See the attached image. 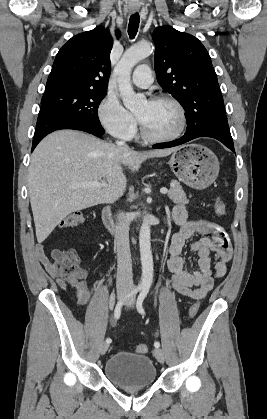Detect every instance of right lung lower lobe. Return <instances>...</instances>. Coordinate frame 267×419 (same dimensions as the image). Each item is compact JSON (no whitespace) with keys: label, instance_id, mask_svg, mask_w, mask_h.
<instances>
[{"label":"right lung lower lobe","instance_id":"right-lung-lower-lobe-1","mask_svg":"<svg viewBox=\"0 0 267 419\" xmlns=\"http://www.w3.org/2000/svg\"><path fill=\"white\" fill-rule=\"evenodd\" d=\"M60 129L81 130L95 136H102L104 129L100 125L82 122L58 110L41 107L32 143V151L37 144L49 133Z\"/></svg>","mask_w":267,"mask_h":419}]
</instances>
